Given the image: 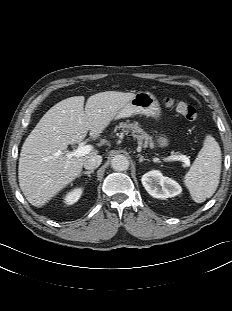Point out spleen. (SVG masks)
Masks as SVG:
<instances>
[{"mask_svg": "<svg viewBox=\"0 0 232 311\" xmlns=\"http://www.w3.org/2000/svg\"><path fill=\"white\" fill-rule=\"evenodd\" d=\"M221 161L218 142L207 135L202 149L184 177V183L196 203L204 202L215 193L220 180Z\"/></svg>", "mask_w": 232, "mask_h": 311, "instance_id": "1", "label": "spleen"}]
</instances>
